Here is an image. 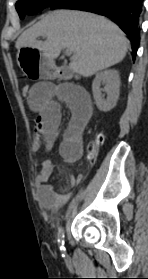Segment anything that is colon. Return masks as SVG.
I'll return each mask as SVG.
<instances>
[{"label":"colon","mask_w":148,"mask_h":279,"mask_svg":"<svg viewBox=\"0 0 148 279\" xmlns=\"http://www.w3.org/2000/svg\"><path fill=\"white\" fill-rule=\"evenodd\" d=\"M30 90H31V86H29V85H23L21 87V93L26 98L29 97ZM102 142H103V137L102 136H98L95 139V141L89 146L88 157H89V159L91 161L94 160V158H95V156L97 154V150H98L99 146L102 144Z\"/></svg>","instance_id":"5ec220e1"}]
</instances>
